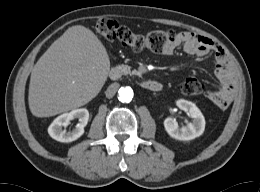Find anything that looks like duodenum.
I'll list each match as a JSON object with an SVG mask.
<instances>
[{
    "label": "duodenum",
    "instance_id": "obj_1",
    "mask_svg": "<svg viewBox=\"0 0 260 192\" xmlns=\"http://www.w3.org/2000/svg\"><path fill=\"white\" fill-rule=\"evenodd\" d=\"M111 80H117L120 77V70L118 68H112L109 72ZM141 87L148 91L158 92L162 89L161 83L155 80H146L141 82Z\"/></svg>",
    "mask_w": 260,
    "mask_h": 192
}]
</instances>
